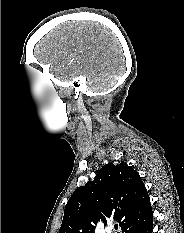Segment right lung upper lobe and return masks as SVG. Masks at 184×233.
<instances>
[{
  "label": "right lung upper lobe",
  "mask_w": 184,
  "mask_h": 233,
  "mask_svg": "<svg viewBox=\"0 0 184 233\" xmlns=\"http://www.w3.org/2000/svg\"><path fill=\"white\" fill-rule=\"evenodd\" d=\"M150 206L137 171L125 162L108 163L93 181L77 188L68 200L59 233H94L98 220L114 216L124 227Z\"/></svg>",
  "instance_id": "obj_1"
}]
</instances>
